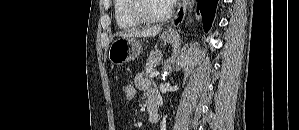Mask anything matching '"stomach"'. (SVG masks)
I'll return each instance as SVG.
<instances>
[{"mask_svg": "<svg viewBox=\"0 0 299 130\" xmlns=\"http://www.w3.org/2000/svg\"><path fill=\"white\" fill-rule=\"evenodd\" d=\"M161 38L164 42H172L176 38V32L165 31ZM142 52V45L135 38L121 37L112 42L109 48V60L114 65L125 64L137 58Z\"/></svg>", "mask_w": 299, "mask_h": 130, "instance_id": "1", "label": "stomach"}]
</instances>
